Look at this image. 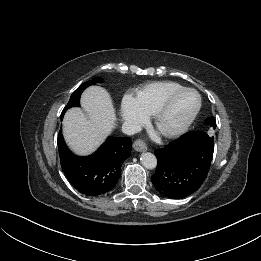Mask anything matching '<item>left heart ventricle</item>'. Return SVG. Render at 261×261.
Masks as SVG:
<instances>
[{"label":"left heart ventricle","mask_w":261,"mask_h":261,"mask_svg":"<svg viewBox=\"0 0 261 261\" xmlns=\"http://www.w3.org/2000/svg\"><path fill=\"white\" fill-rule=\"evenodd\" d=\"M198 98L193 92L176 97L160 122V129L171 130L180 126L195 110Z\"/></svg>","instance_id":"left-heart-ventricle-1"}]
</instances>
